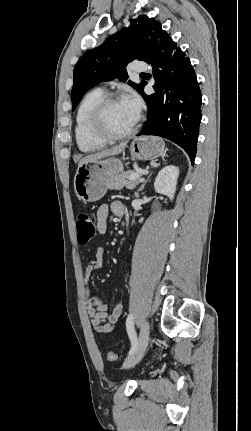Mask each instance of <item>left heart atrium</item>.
<instances>
[{
	"instance_id": "left-heart-atrium-1",
	"label": "left heart atrium",
	"mask_w": 251,
	"mask_h": 431,
	"mask_svg": "<svg viewBox=\"0 0 251 431\" xmlns=\"http://www.w3.org/2000/svg\"><path fill=\"white\" fill-rule=\"evenodd\" d=\"M123 103L127 105L130 109H132L137 115L140 113L141 109V101L134 94H130L126 96L123 100Z\"/></svg>"
}]
</instances>
